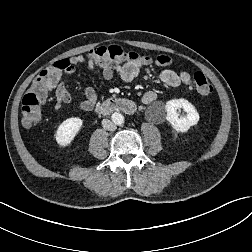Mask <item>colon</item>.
<instances>
[{
	"label": "colon",
	"instance_id": "1",
	"mask_svg": "<svg viewBox=\"0 0 252 252\" xmlns=\"http://www.w3.org/2000/svg\"><path fill=\"white\" fill-rule=\"evenodd\" d=\"M89 57L96 65L101 67L125 66L139 62L142 66L155 63L158 66L171 65L173 60L169 56L160 55L154 60L140 57L134 52H126L119 46L97 47L89 52ZM71 66L69 59H64L51 64L48 68L39 72L34 79L29 91L24 95L21 103V118L25 126H32L42 118V105L47 96V90L55 85L62 72ZM194 89L202 97H209L214 89L207 77L197 72L194 77Z\"/></svg>",
	"mask_w": 252,
	"mask_h": 252
}]
</instances>
